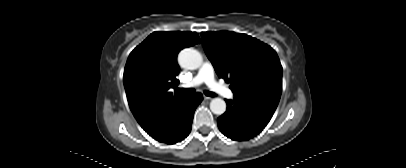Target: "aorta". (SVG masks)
Listing matches in <instances>:
<instances>
[{
  "label": "aorta",
  "instance_id": "obj_1",
  "mask_svg": "<svg viewBox=\"0 0 406 168\" xmlns=\"http://www.w3.org/2000/svg\"><path fill=\"white\" fill-rule=\"evenodd\" d=\"M178 62L181 67L194 70L203 63L202 55L193 48L183 49L178 55ZM210 109L216 115H222L226 111V103L221 98H214L210 102Z\"/></svg>",
  "mask_w": 406,
  "mask_h": 168
}]
</instances>
